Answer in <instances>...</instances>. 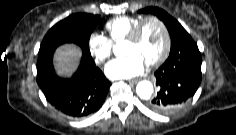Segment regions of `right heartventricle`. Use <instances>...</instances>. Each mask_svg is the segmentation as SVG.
<instances>
[{
	"instance_id": "right-heart-ventricle-1",
	"label": "right heart ventricle",
	"mask_w": 236,
	"mask_h": 135,
	"mask_svg": "<svg viewBox=\"0 0 236 135\" xmlns=\"http://www.w3.org/2000/svg\"><path fill=\"white\" fill-rule=\"evenodd\" d=\"M143 18V16H119L109 20L105 24L108 39L112 43L124 41L130 34L133 27Z\"/></svg>"
}]
</instances>
